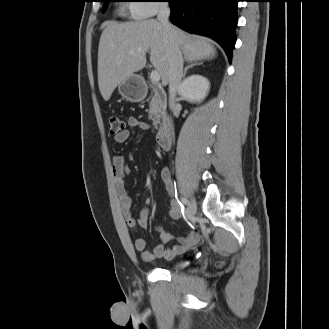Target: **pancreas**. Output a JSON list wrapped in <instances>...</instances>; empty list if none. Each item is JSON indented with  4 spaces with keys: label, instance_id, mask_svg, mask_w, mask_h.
Segmentation results:
<instances>
[{
    "label": "pancreas",
    "instance_id": "1",
    "mask_svg": "<svg viewBox=\"0 0 329 329\" xmlns=\"http://www.w3.org/2000/svg\"><path fill=\"white\" fill-rule=\"evenodd\" d=\"M151 87L153 94L150 97L149 103V119L152 120L153 125L157 127L160 123V119L166 112V99L157 87Z\"/></svg>",
    "mask_w": 329,
    "mask_h": 329
}]
</instances>
